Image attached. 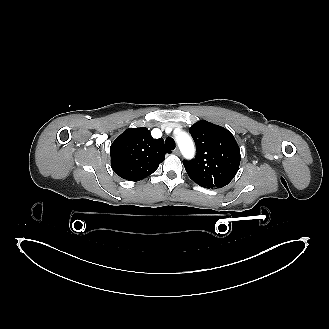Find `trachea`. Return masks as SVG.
<instances>
[{
    "label": "trachea",
    "instance_id": "trachea-1",
    "mask_svg": "<svg viewBox=\"0 0 329 329\" xmlns=\"http://www.w3.org/2000/svg\"><path fill=\"white\" fill-rule=\"evenodd\" d=\"M165 144L169 149H171V150L175 149V142H174L173 138H171V137L166 138Z\"/></svg>",
    "mask_w": 329,
    "mask_h": 329
}]
</instances>
